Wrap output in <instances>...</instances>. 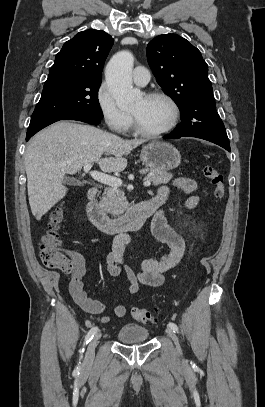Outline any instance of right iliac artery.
<instances>
[{
	"label": "right iliac artery",
	"instance_id": "obj_1",
	"mask_svg": "<svg viewBox=\"0 0 265 407\" xmlns=\"http://www.w3.org/2000/svg\"><path fill=\"white\" fill-rule=\"evenodd\" d=\"M97 331H98V327H93V328H91V329L89 330V332L87 333V335H86V337H85L84 346L87 345V344L92 340V338H93L94 335L97 333ZM83 352H84V348H82V349L80 350V353H81V354H82ZM78 370H79V367L76 368V371H78Z\"/></svg>",
	"mask_w": 265,
	"mask_h": 407
}]
</instances>
